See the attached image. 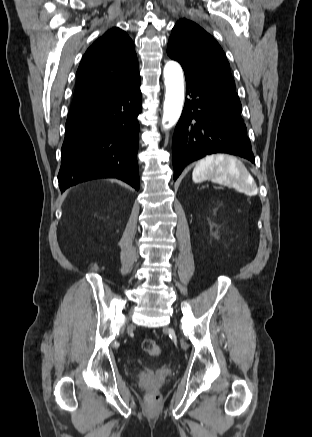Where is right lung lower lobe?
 Returning a JSON list of instances; mask_svg holds the SVG:
<instances>
[{
    "mask_svg": "<svg viewBox=\"0 0 312 437\" xmlns=\"http://www.w3.org/2000/svg\"><path fill=\"white\" fill-rule=\"evenodd\" d=\"M141 100L139 75L118 93L68 114L58 174L61 191L96 178H117L139 189Z\"/></svg>",
    "mask_w": 312,
    "mask_h": 437,
    "instance_id": "1",
    "label": "right lung lower lobe"
}]
</instances>
